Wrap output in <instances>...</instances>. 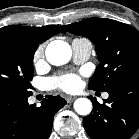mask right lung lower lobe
Instances as JSON below:
<instances>
[{"label": "right lung lower lobe", "instance_id": "98d812e1", "mask_svg": "<svg viewBox=\"0 0 139 139\" xmlns=\"http://www.w3.org/2000/svg\"><path fill=\"white\" fill-rule=\"evenodd\" d=\"M29 96L0 93V139H47L55 113L66 101L48 95L40 107L29 105Z\"/></svg>", "mask_w": 139, "mask_h": 139}]
</instances>
